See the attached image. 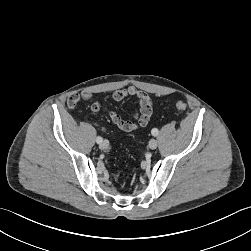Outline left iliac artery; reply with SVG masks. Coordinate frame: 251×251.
Instances as JSON below:
<instances>
[{"instance_id":"44dca946","label":"left iliac artery","mask_w":251,"mask_h":251,"mask_svg":"<svg viewBox=\"0 0 251 251\" xmlns=\"http://www.w3.org/2000/svg\"><path fill=\"white\" fill-rule=\"evenodd\" d=\"M151 133H152L153 136H157L158 133H159V131H158V129L153 128L152 131H151Z\"/></svg>"}]
</instances>
